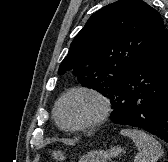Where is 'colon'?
Returning <instances> with one entry per match:
<instances>
[{"instance_id":"obj_1","label":"colon","mask_w":168,"mask_h":162,"mask_svg":"<svg viewBox=\"0 0 168 162\" xmlns=\"http://www.w3.org/2000/svg\"><path fill=\"white\" fill-rule=\"evenodd\" d=\"M48 158L56 162H61L65 160V155L59 151H53L48 154Z\"/></svg>"}]
</instances>
